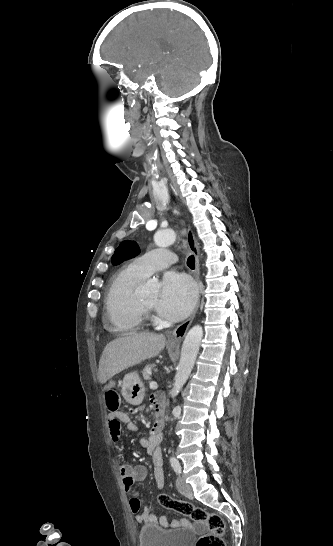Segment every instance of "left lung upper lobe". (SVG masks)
Masks as SVG:
<instances>
[{"label":"left lung upper lobe","mask_w":333,"mask_h":546,"mask_svg":"<svg viewBox=\"0 0 333 546\" xmlns=\"http://www.w3.org/2000/svg\"><path fill=\"white\" fill-rule=\"evenodd\" d=\"M140 253L138 245L134 241H123L112 256V263L117 265L133 258Z\"/></svg>","instance_id":"5c2ea615"}]
</instances>
